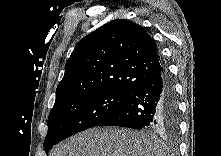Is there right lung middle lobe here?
Segmentation results:
<instances>
[{
	"label": "right lung middle lobe",
	"mask_w": 221,
	"mask_h": 156,
	"mask_svg": "<svg viewBox=\"0 0 221 156\" xmlns=\"http://www.w3.org/2000/svg\"><path fill=\"white\" fill-rule=\"evenodd\" d=\"M129 97L130 95L125 93L103 91L78 96L54 105L48 117L45 152L62 140L97 126Z\"/></svg>",
	"instance_id": "1"
}]
</instances>
